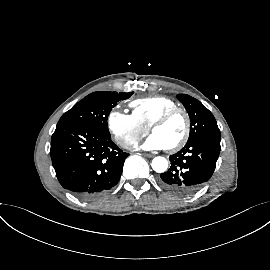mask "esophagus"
<instances>
[{"label":"esophagus","instance_id":"1","mask_svg":"<svg viewBox=\"0 0 270 270\" xmlns=\"http://www.w3.org/2000/svg\"><path fill=\"white\" fill-rule=\"evenodd\" d=\"M144 156H146V157H148V158L154 157V155H153V154H150V153H144Z\"/></svg>","mask_w":270,"mask_h":270}]
</instances>
